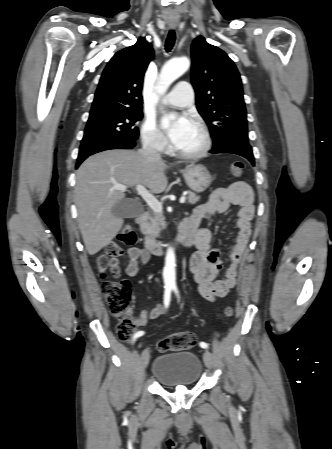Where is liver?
<instances>
[{
  "label": "liver",
  "instance_id": "6515ba94",
  "mask_svg": "<svg viewBox=\"0 0 332 449\" xmlns=\"http://www.w3.org/2000/svg\"><path fill=\"white\" fill-rule=\"evenodd\" d=\"M163 161L143 158L139 152L109 150L85 160L77 170L75 203L78 223L87 252L94 255L109 245L123 226V218L112 214V208L125 197L115 184L129 187L141 184L153 193L167 187Z\"/></svg>",
  "mask_w": 332,
  "mask_h": 449
}]
</instances>
